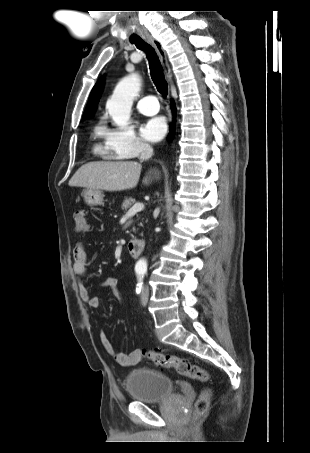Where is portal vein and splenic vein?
<instances>
[{
    "label": "portal vein and splenic vein",
    "instance_id": "obj_1",
    "mask_svg": "<svg viewBox=\"0 0 310 453\" xmlns=\"http://www.w3.org/2000/svg\"><path fill=\"white\" fill-rule=\"evenodd\" d=\"M144 209L142 203H135L127 212V215H135L137 212H140Z\"/></svg>",
    "mask_w": 310,
    "mask_h": 453
}]
</instances>
